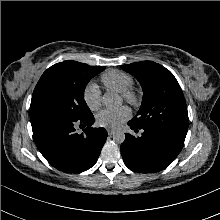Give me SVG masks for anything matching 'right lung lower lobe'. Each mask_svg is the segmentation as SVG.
<instances>
[{
    "instance_id": "obj_1",
    "label": "right lung lower lobe",
    "mask_w": 220,
    "mask_h": 220,
    "mask_svg": "<svg viewBox=\"0 0 220 220\" xmlns=\"http://www.w3.org/2000/svg\"><path fill=\"white\" fill-rule=\"evenodd\" d=\"M35 143L44 158L56 169L79 173L91 168L98 160L106 141L104 128H92L93 114L74 119L45 108L30 109ZM86 127L78 134L75 125Z\"/></svg>"
}]
</instances>
